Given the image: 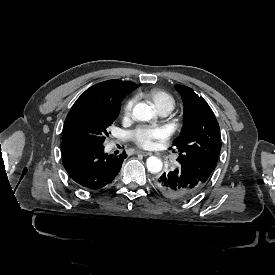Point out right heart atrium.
Segmentation results:
<instances>
[{
  "mask_svg": "<svg viewBox=\"0 0 275 275\" xmlns=\"http://www.w3.org/2000/svg\"><path fill=\"white\" fill-rule=\"evenodd\" d=\"M134 101L132 99L128 100L123 108L124 118H129L132 113Z\"/></svg>",
  "mask_w": 275,
  "mask_h": 275,
  "instance_id": "right-heart-atrium-1",
  "label": "right heart atrium"
}]
</instances>
